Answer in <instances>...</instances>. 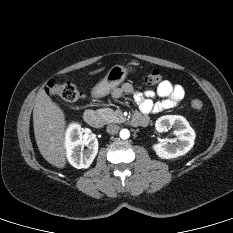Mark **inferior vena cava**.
I'll return each instance as SVG.
<instances>
[{
  "mask_svg": "<svg viewBox=\"0 0 233 233\" xmlns=\"http://www.w3.org/2000/svg\"><path fill=\"white\" fill-rule=\"evenodd\" d=\"M106 131L109 133V134H117L118 131H119V126L117 124H109L107 127H106Z\"/></svg>",
  "mask_w": 233,
  "mask_h": 233,
  "instance_id": "inferior-vena-cava-1",
  "label": "inferior vena cava"
}]
</instances>
